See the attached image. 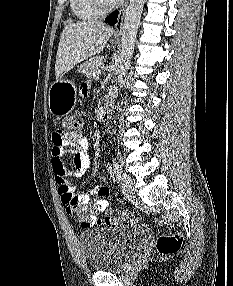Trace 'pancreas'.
Segmentation results:
<instances>
[{
  "label": "pancreas",
  "mask_w": 233,
  "mask_h": 286,
  "mask_svg": "<svg viewBox=\"0 0 233 286\" xmlns=\"http://www.w3.org/2000/svg\"><path fill=\"white\" fill-rule=\"evenodd\" d=\"M99 65L100 61H92L88 64H86L82 69L81 73L86 75V77L90 79H95L97 72H99Z\"/></svg>",
  "instance_id": "cf45deb5"
}]
</instances>
